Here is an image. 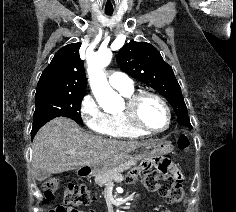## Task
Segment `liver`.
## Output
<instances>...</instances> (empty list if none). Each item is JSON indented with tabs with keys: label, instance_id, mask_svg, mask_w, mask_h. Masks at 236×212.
Returning <instances> with one entry per match:
<instances>
[{
	"label": "liver",
	"instance_id": "1",
	"mask_svg": "<svg viewBox=\"0 0 236 212\" xmlns=\"http://www.w3.org/2000/svg\"><path fill=\"white\" fill-rule=\"evenodd\" d=\"M141 142L106 139L83 132L80 126L66 117L45 124L36 134L32 145V170L62 173L80 167H91L124 154ZM75 150L76 154L66 151Z\"/></svg>",
	"mask_w": 236,
	"mask_h": 212
}]
</instances>
